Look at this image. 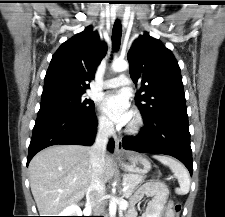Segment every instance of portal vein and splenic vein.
<instances>
[{"label":"portal vein and splenic vein","instance_id":"obj_1","mask_svg":"<svg viewBox=\"0 0 225 217\" xmlns=\"http://www.w3.org/2000/svg\"><path fill=\"white\" fill-rule=\"evenodd\" d=\"M127 189H128V187L124 185L122 191L125 192V191H127Z\"/></svg>","mask_w":225,"mask_h":217}]
</instances>
